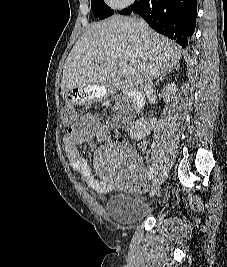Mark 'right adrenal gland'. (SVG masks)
<instances>
[{"label": "right adrenal gland", "instance_id": "2a0ac1e0", "mask_svg": "<svg viewBox=\"0 0 227 267\" xmlns=\"http://www.w3.org/2000/svg\"><path fill=\"white\" fill-rule=\"evenodd\" d=\"M167 73H170V71L161 74L159 76V78L157 79V82L156 83L159 84L160 81H163V79H164V77L166 76Z\"/></svg>", "mask_w": 227, "mask_h": 267}]
</instances>
